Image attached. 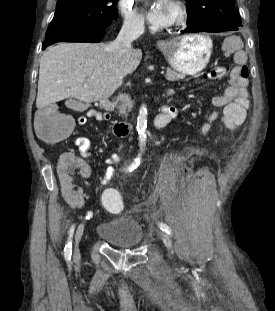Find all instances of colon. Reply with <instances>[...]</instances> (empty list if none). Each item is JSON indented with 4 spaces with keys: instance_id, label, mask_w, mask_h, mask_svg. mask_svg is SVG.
I'll use <instances>...</instances> for the list:
<instances>
[{
    "instance_id": "obj_1",
    "label": "colon",
    "mask_w": 275,
    "mask_h": 311,
    "mask_svg": "<svg viewBox=\"0 0 275 311\" xmlns=\"http://www.w3.org/2000/svg\"><path fill=\"white\" fill-rule=\"evenodd\" d=\"M244 77L248 76L247 68L241 70ZM219 75V73H215ZM76 101L70 102L68 107L73 108ZM224 130H236L238 118H222ZM74 126V118L66 113L59 112L55 107L49 106L41 111L36 118V134L46 142H60L66 139ZM104 207L111 212H116L121 209V197L119 190H101Z\"/></svg>"
}]
</instances>
